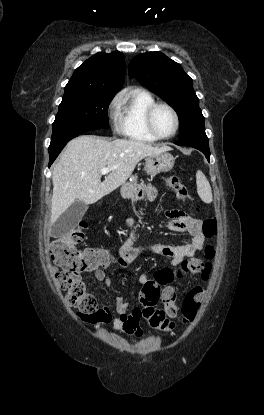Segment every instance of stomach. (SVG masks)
Here are the masks:
<instances>
[{
  "label": "stomach",
  "mask_w": 264,
  "mask_h": 415,
  "mask_svg": "<svg viewBox=\"0 0 264 415\" xmlns=\"http://www.w3.org/2000/svg\"><path fill=\"white\" fill-rule=\"evenodd\" d=\"M174 162V157L168 152L148 156L145 159V171L150 176H155L156 174L162 172H168L173 168ZM142 188L143 185L139 184L135 178L132 182L123 184L120 191L121 196L132 200L136 199Z\"/></svg>",
  "instance_id": "0dacf381"
}]
</instances>
